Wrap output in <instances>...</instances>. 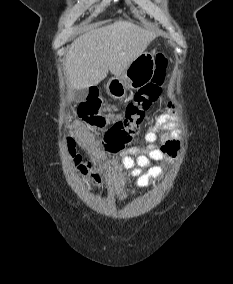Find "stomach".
Returning <instances> with one entry per match:
<instances>
[{"instance_id": "1", "label": "stomach", "mask_w": 233, "mask_h": 284, "mask_svg": "<svg viewBox=\"0 0 233 284\" xmlns=\"http://www.w3.org/2000/svg\"><path fill=\"white\" fill-rule=\"evenodd\" d=\"M155 71L154 55L144 52L138 56L124 73L112 77L107 85V93L114 99H122L129 89H138L147 84Z\"/></svg>"}]
</instances>
